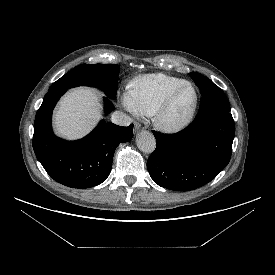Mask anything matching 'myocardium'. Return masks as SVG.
Returning a JSON list of instances; mask_svg holds the SVG:
<instances>
[{"mask_svg": "<svg viewBox=\"0 0 275 275\" xmlns=\"http://www.w3.org/2000/svg\"><path fill=\"white\" fill-rule=\"evenodd\" d=\"M189 88L193 92L192 103L186 112V114L176 120L169 118V112L173 106V103L177 95L184 89ZM199 103V96L196 88L189 82H184L183 84L175 87L160 103L153 114V122L161 131L166 133H176L182 131L188 127L195 118L197 108Z\"/></svg>", "mask_w": 275, "mask_h": 275, "instance_id": "obj_1", "label": "myocardium"}]
</instances>
